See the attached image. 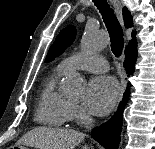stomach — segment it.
Here are the masks:
<instances>
[{"label": "stomach", "mask_w": 155, "mask_h": 149, "mask_svg": "<svg viewBox=\"0 0 155 149\" xmlns=\"http://www.w3.org/2000/svg\"><path fill=\"white\" fill-rule=\"evenodd\" d=\"M19 149H29L27 145H20V146H15Z\"/></svg>", "instance_id": "obj_1"}]
</instances>
